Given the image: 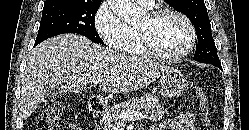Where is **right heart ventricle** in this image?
Returning a JSON list of instances; mask_svg holds the SVG:
<instances>
[{
	"instance_id": "right-heart-ventricle-1",
	"label": "right heart ventricle",
	"mask_w": 249,
	"mask_h": 130,
	"mask_svg": "<svg viewBox=\"0 0 249 130\" xmlns=\"http://www.w3.org/2000/svg\"><path fill=\"white\" fill-rule=\"evenodd\" d=\"M126 26L127 34L121 50L131 56H143L144 52L140 44L137 28L128 25Z\"/></svg>"
}]
</instances>
